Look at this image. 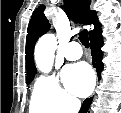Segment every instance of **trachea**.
I'll return each instance as SVG.
<instances>
[{"label": "trachea", "instance_id": "trachea-1", "mask_svg": "<svg viewBox=\"0 0 121 113\" xmlns=\"http://www.w3.org/2000/svg\"><path fill=\"white\" fill-rule=\"evenodd\" d=\"M79 40L84 46L89 47L88 32L85 29L80 31Z\"/></svg>", "mask_w": 121, "mask_h": 113}]
</instances>
